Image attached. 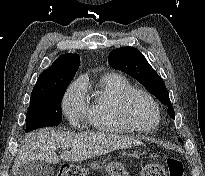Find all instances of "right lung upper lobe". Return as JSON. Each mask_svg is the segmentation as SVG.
<instances>
[{"label":"right lung upper lobe","instance_id":"1","mask_svg":"<svg viewBox=\"0 0 205 176\" xmlns=\"http://www.w3.org/2000/svg\"><path fill=\"white\" fill-rule=\"evenodd\" d=\"M79 61L78 54L67 53L58 57L40 74L31 96L46 94L61 86L69 85L79 68Z\"/></svg>","mask_w":205,"mask_h":176}]
</instances>
